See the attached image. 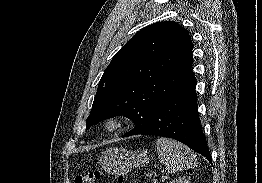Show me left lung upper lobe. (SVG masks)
<instances>
[{"label":"left lung upper lobe","mask_w":262,"mask_h":183,"mask_svg":"<svg viewBox=\"0 0 262 183\" xmlns=\"http://www.w3.org/2000/svg\"><path fill=\"white\" fill-rule=\"evenodd\" d=\"M189 32L173 21L151 24L137 32L113 57L100 79L86 127L123 115L137 134L191 70Z\"/></svg>","instance_id":"5c2ea615"}]
</instances>
